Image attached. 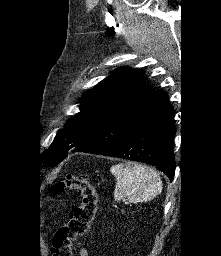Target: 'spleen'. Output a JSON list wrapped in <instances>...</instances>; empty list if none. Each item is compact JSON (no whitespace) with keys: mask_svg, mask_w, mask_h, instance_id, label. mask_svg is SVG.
I'll return each mask as SVG.
<instances>
[{"mask_svg":"<svg viewBox=\"0 0 221 256\" xmlns=\"http://www.w3.org/2000/svg\"><path fill=\"white\" fill-rule=\"evenodd\" d=\"M116 178L115 201L127 199L130 203L147 202L162 191L159 175L152 168L138 163L116 164L110 168Z\"/></svg>","mask_w":221,"mask_h":256,"instance_id":"3e777b00","label":"spleen"}]
</instances>
